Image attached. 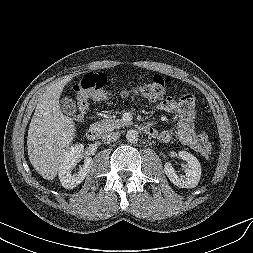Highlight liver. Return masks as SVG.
Here are the masks:
<instances>
[{"instance_id":"obj_1","label":"liver","mask_w":253,"mask_h":253,"mask_svg":"<svg viewBox=\"0 0 253 253\" xmlns=\"http://www.w3.org/2000/svg\"><path fill=\"white\" fill-rule=\"evenodd\" d=\"M71 76L53 82L41 95L31 119L27 150L35 170L47 180H53L65 152L70 148L76 128L74 121L65 116L59 98Z\"/></svg>"}]
</instances>
